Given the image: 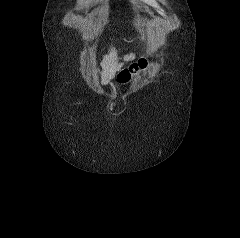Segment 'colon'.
I'll return each instance as SVG.
<instances>
[{"instance_id":"colon-1","label":"colon","mask_w":240,"mask_h":238,"mask_svg":"<svg viewBox=\"0 0 240 238\" xmlns=\"http://www.w3.org/2000/svg\"><path fill=\"white\" fill-rule=\"evenodd\" d=\"M147 59H140L139 61L131 64L129 67L123 69L117 77V81L120 84L129 83L134 77L143 72L148 66Z\"/></svg>"}]
</instances>
